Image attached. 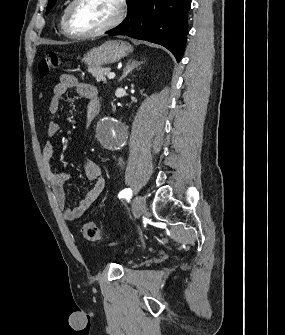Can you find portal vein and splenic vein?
Segmentation results:
<instances>
[{
	"label": "portal vein and splenic vein",
	"instance_id": "portal-vein-and-splenic-vein-1",
	"mask_svg": "<svg viewBox=\"0 0 285 335\" xmlns=\"http://www.w3.org/2000/svg\"><path fill=\"white\" fill-rule=\"evenodd\" d=\"M107 78H109V80H112V78H115L114 72H110V74H107Z\"/></svg>",
	"mask_w": 285,
	"mask_h": 335
}]
</instances>
